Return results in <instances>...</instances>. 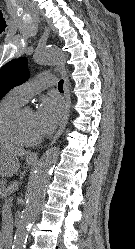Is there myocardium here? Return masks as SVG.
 Instances as JSON below:
<instances>
[{
	"label": "myocardium",
	"mask_w": 135,
	"mask_h": 249,
	"mask_svg": "<svg viewBox=\"0 0 135 249\" xmlns=\"http://www.w3.org/2000/svg\"><path fill=\"white\" fill-rule=\"evenodd\" d=\"M31 108L27 105H21L11 110L4 118L3 124L5 129L22 145L34 146L40 143L41 138L28 139L24 137L19 129V119L21 115Z\"/></svg>",
	"instance_id": "f54148a6"
}]
</instances>
